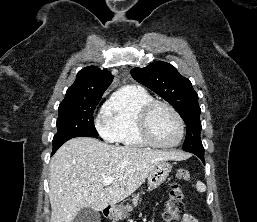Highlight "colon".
Returning a JSON list of instances; mask_svg holds the SVG:
<instances>
[{
	"label": "colon",
	"mask_w": 257,
	"mask_h": 222,
	"mask_svg": "<svg viewBox=\"0 0 257 222\" xmlns=\"http://www.w3.org/2000/svg\"><path fill=\"white\" fill-rule=\"evenodd\" d=\"M177 182L171 184L168 199L165 204L163 217L167 222L178 219L183 210L184 192L180 182H187L190 179L188 170L180 168L176 171Z\"/></svg>",
	"instance_id": "1"
}]
</instances>
